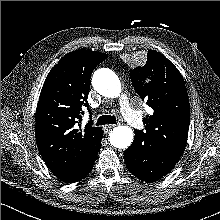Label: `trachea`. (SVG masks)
I'll return each mask as SVG.
<instances>
[{
	"label": "trachea",
	"instance_id": "3493384b",
	"mask_svg": "<svg viewBox=\"0 0 220 220\" xmlns=\"http://www.w3.org/2000/svg\"><path fill=\"white\" fill-rule=\"evenodd\" d=\"M97 125H105V124H117V120L115 116L110 115H102L97 119Z\"/></svg>",
	"mask_w": 220,
	"mask_h": 220
}]
</instances>
